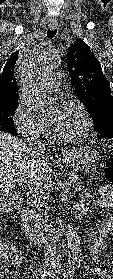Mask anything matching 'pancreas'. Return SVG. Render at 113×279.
<instances>
[{
	"mask_svg": "<svg viewBox=\"0 0 113 279\" xmlns=\"http://www.w3.org/2000/svg\"><path fill=\"white\" fill-rule=\"evenodd\" d=\"M68 179L73 184V188L75 191L80 192L83 187L82 179L74 174H68ZM48 196L44 190L40 191L39 196H33L30 201V206L32 208L33 221L36 225H41L47 219V211L43 209V207H47Z\"/></svg>",
	"mask_w": 113,
	"mask_h": 279,
	"instance_id": "obj_1",
	"label": "pancreas"
}]
</instances>
